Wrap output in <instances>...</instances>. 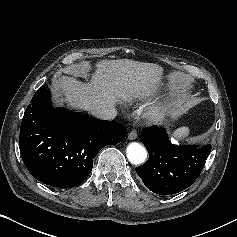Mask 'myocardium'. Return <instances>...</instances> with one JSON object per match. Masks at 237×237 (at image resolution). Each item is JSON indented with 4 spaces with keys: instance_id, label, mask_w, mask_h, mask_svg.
I'll return each mask as SVG.
<instances>
[{
    "instance_id": "obj_1",
    "label": "myocardium",
    "mask_w": 237,
    "mask_h": 237,
    "mask_svg": "<svg viewBox=\"0 0 237 237\" xmlns=\"http://www.w3.org/2000/svg\"><path fill=\"white\" fill-rule=\"evenodd\" d=\"M169 110L168 105L152 107L145 112L144 118L149 123L159 124L166 118Z\"/></svg>"
}]
</instances>
